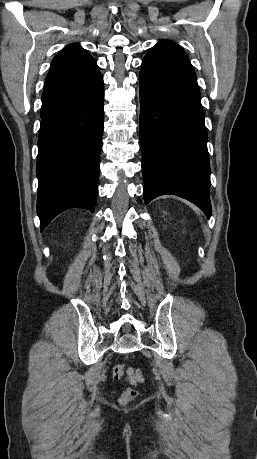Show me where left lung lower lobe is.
<instances>
[{
    "label": "left lung lower lobe",
    "instance_id": "left-lung-lower-lobe-1",
    "mask_svg": "<svg viewBox=\"0 0 257 459\" xmlns=\"http://www.w3.org/2000/svg\"><path fill=\"white\" fill-rule=\"evenodd\" d=\"M139 86L145 203L174 194L197 205L209 218L207 131L188 56L148 52L142 60Z\"/></svg>",
    "mask_w": 257,
    "mask_h": 459
}]
</instances>
